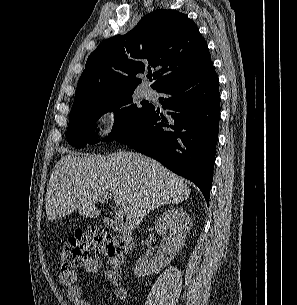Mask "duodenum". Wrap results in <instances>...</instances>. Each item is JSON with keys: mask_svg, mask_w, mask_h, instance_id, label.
<instances>
[{"mask_svg": "<svg viewBox=\"0 0 297 305\" xmlns=\"http://www.w3.org/2000/svg\"><path fill=\"white\" fill-rule=\"evenodd\" d=\"M105 222L113 231L121 235L125 249L131 252L135 243L130 227L124 222H118L111 218H106Z\"/></svg>", "mask_w": 297, "mask_h": 305, "instance_id": "duodenum-1", "label": "duodenum"}]
</instances>
